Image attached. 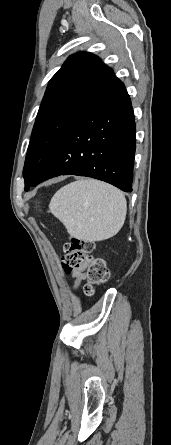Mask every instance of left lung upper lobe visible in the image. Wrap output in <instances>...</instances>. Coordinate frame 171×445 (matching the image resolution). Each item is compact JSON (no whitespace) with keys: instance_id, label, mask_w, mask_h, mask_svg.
<instances>
[{"instance_id":"left-lung-upper-lobe-1","label":"left lung upper lobe","mask_w":171,"mask_h":445,"mask_svg":"<svg viewBox=\"0 0 171 445\" xmlns=\"http://www.w3.org/2000/svg\"><path fill=\"white\" fill-rule=\"evenodd\" d=\"M123 83L97 56H70L51 78L40 105L27 151L23 177L32 178L70 128Z\"/></svg>"}]
</instances>
